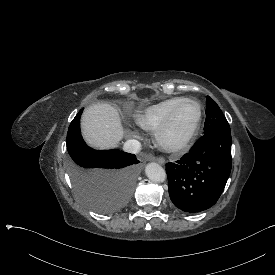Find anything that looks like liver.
Here are the masks:
<instances>
[{
	"instance_id": "obj_1",
	"label": "liver",
	"mask_w": 275,
	"mask_h": 275,
	"mask_svg": "<svg viewBox=\"0 0 275 275\" xmlns=\"http://www.w3.org/2000/svg\"><path fill=\"white\" fill-rule=\"evenodd\" d=\"M80 129L85 143L97 150L118 147L126 134L117 108L105 103L93 104L83 111Z\"/></svg>"
}]
</instances>
